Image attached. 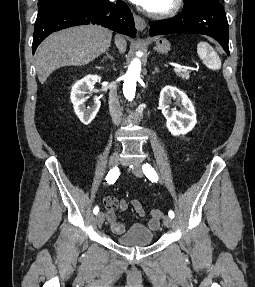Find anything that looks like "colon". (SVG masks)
<instances>
[{
	"instance_id": "obj_1",
	"label": "colon",
	"mask_w": 255,
	"mask_h": 287,
	"mask_svg": "<svg viewBox=\"0 0 255 287\" xmlns=\"http://www.w3.org/2000/svg\"><path fill=\"white\" fill-rule=\"evenodd\" d=\"M150 214H151L152 217H154L156 219H160L163 216V213L160 210H158V209H152L150 211Z\"/></svg>"
}]
</instances>
